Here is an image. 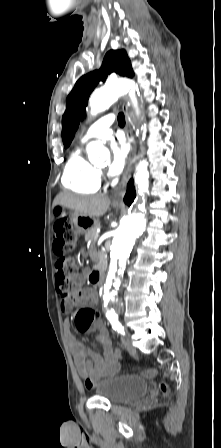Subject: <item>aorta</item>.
<instances>
[{
  "instance_id": "1",
  "label": "aorta",
  "mask_w": 221,
  "mask_h": 448,
  "mask_svg": "<svg viewBox=\"0 0 221 448\" xmlns=\"http://www.w3.org/2000/svg\"><path fill=\"white\" fill-rule=\"evenodd\" d=\"M136 85L130 80H117L108 82L100 89L96 90L89 99L90 112L92 115L108 109L121 95L129 92V96L137 106L135 96ZM88 158L91 163L104 161L109 157V151L101 142H91L86 148ZM147 162H140L136 167L135 183L141 192L148 191L149 173ZM146 220L143 213H132L126 216L118 229L115 231L110 247V266L108 273V285L110 294L117 296L121 283V276L126 266V261L131 253L136 238L143 232Z\"/></svg>"
}]
</instances>
